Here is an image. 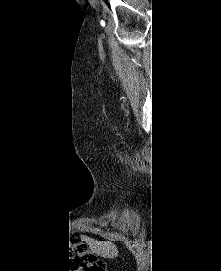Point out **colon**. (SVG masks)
Wrapping results in <instances>:
<instances>
[{"label": "colon", "mask_w": 221, "mask_h": 271, "mask_svg": "<svg viewBox=\"0 0 221 271\" xmlns=\"http://www.w3.org/2000/svg\"><path fill=\"white\" fill-rule=\"evenodd\" d=\"M75 252L72 254L76 271H106L105 265L89 253L87 247L75 241Z\"/></svg>", "instance_id": "obj_1"}]
</instances>
